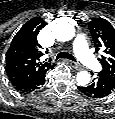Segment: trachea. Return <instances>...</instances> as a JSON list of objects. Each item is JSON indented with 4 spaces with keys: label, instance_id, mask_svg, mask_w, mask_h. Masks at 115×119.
<instances>
[{
    "label": "trachea",
    "instance_id": "trachea-1",
    "mask_svg": "<svg viewBox=\"0 0 115 119\" xmlns=\"http://www.w3.org/2000/svg\"><path fill=\"white\" fill-rule=\"evenodd\" d=\"M62 58H67L69 60H72V61H76L74 56H72L71 54L67 53V52H60L57 57H56V60L58 59H62Z\"/></svg>",
    "mask_w": 115,
    "mask_h": 119
}]
</instances>
